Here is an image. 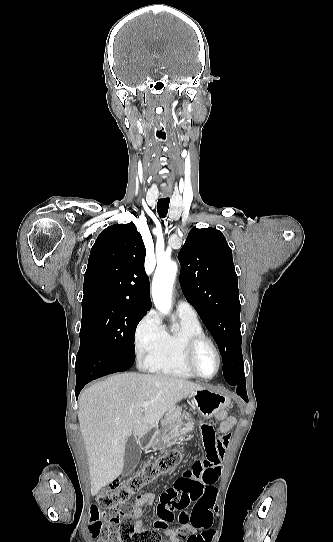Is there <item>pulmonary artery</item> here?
<instances>
[{
	"label": "pulmonary artery",
	"instance_id": "1",
	"mask_svg": "<svg viewBox=\"0 0 333 542\" xmlns=\"http://www.w3.org/2000/svg\"><path fill=\"white\" fill-rule=\"evenodd\" d=\"M176 314L189 319H197V312L194 307L186 300L180 299L176 306Z\"/></svg>",
	"mask_w": 333,
	"mask_h": 542
}]
</instances>
